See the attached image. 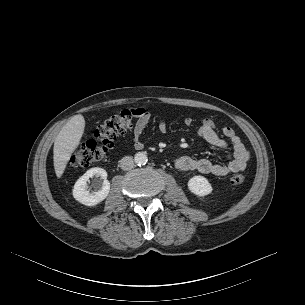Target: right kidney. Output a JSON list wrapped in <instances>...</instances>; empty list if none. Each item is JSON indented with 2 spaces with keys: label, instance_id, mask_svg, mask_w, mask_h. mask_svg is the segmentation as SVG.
Listing matches in <instances>:
<instances>
[{
  "label": "right kidney",
  "instance_id": "obj_1",
  "mask_svg": "<svg viewBox=\"0 0 305 305\" xmlns=\"http://www.w3.org/2000/svg\"><path fill=\"white\" fill-rule=\"evenodd\" d=\"M99 177L96 191L87 190V181L92 177ZM110 183L107 180V172L102 168H92L81 176L75 183L73 188V197L86 206H95L102 202L109 194Z\"/></svg>",
  "mask_w": 305,
  "mask_h": 305
}]
</instances>
